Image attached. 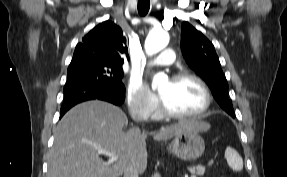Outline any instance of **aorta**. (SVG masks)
Here are the masks:
<instances>
[{"instance_id":"obj_1","label":"aorta","mask_w":287,"mask_h":177,"mask_svg":"<svg viewBox=\"0 0 287 177\" xmlns=\"http://www.w3.org/2000/svg\"><path fill=\"white\" fill-rule=\"evenodd\" d=\"M169 43V35L165 31H151L145 41V51L148 55H153L164 49ZM168 78L165 74H157L153 77L152 88L167 82Z\"/></svg>"}]
</instances>
